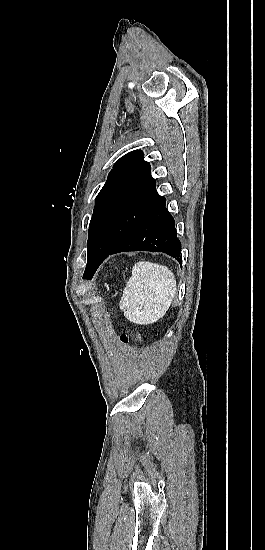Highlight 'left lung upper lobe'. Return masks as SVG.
<instances>
[{
	"instance_id": "5c2ea615",
	"label": "left lung upper lobe",
	"mask_w": 265,
	"mask_h": 550,
	"mask_svg": "<svg viewBox=\"0 0 265 550\" xmlns=\"http://www.w3.org/2000/svg\"><path fill=\"white\" fill-rule=\"evenodd\" d=\"M140 150L122 156L95 199L89 225L88 253L108 252L162 199Z\"/></svg>"
}]
</instances>
